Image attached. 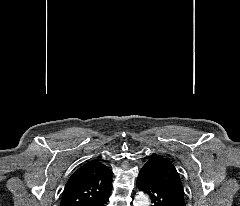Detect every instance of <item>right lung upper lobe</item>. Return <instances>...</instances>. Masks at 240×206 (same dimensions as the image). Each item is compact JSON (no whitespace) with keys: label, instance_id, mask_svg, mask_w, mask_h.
<instances>
[{"label":"right lung upper lobe","instance_id":"right-lung-upper-lobe-1","mask_svg":"<svg viewBox=\"0 0 240 206\" xmlns=\"http://www.w3.org/2000/svg\"><path fill=\"white\" fill-rule=\"evenodd\" d=\"M112 172L100 161H90L68 180L60 206H86L111 192Z\"/></svg>","mask_w":240,"mask_h":206}]
</instances>
